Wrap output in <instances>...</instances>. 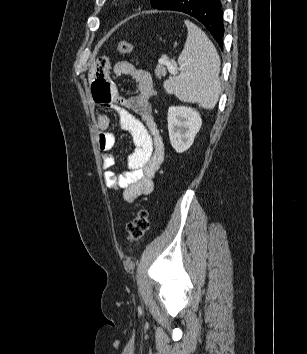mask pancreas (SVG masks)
Instances as JSON below:
<instances>
[{
  "instance_id": "pancreas-1",
  "label": "pancreas",
  "mask_w": 307,
  "mask_h": 354,
  "mask_svg": "<svg viewBox=\"0 0 307 354\" xmlns=\"http://www.w3.org/2000/svg\"><path fill=\"white\" fill-rule=\"evenodd\" d=\"M167 74L166 67L163 64H158L155 69V75L160 79Z\"/></svg>"
}]
</instances>
